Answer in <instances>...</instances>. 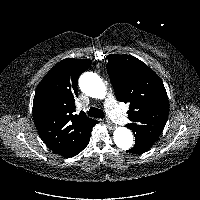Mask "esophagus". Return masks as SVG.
<instances>
[{"instance_id":"34e87169","label":"esophagus","mask_w":200,"mask_h":200,"mask_svg":"<svg viewBox=\"0 0 200 200\" xmlns=\"http://www.w3.org/2000/svg\"><path fill=\"white\" fill-rule=\"evenodd\" d=\"M105 122H106L109 126H111V127L114 126V125L112 124V122H111L108 118H106Z\"/></svg>"}]
</instances>
